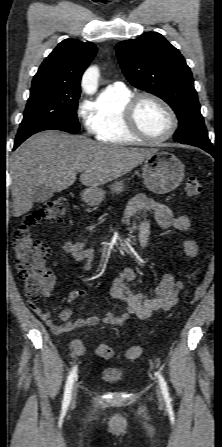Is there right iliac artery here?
<instances>
[{
  "mask_svg": "<svg viewBox=\"0 0 222 447\" xmlns=\"http://www.w3.org/2000/svg\"><path fill=\"white\" fill-rule=\"evenodd\" d=\"M76 371H77V367H73L72 371L70 372L68 379L66 381V386H65V392H64V398H63V407H68L70 400H71V391H72V386L74 383V379L76 377Z\"/></svg>",
  "mask_w": 222,
  "mask_h": 447,
  "instance_id": "right-iliac-artery-1",
  "label": "right iliac artery"
}]
</instances>
